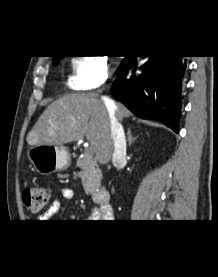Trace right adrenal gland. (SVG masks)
<instances>
[{
  "label": "right adrenal gland",
  "instance_id": "1",
  "mask_svg": "<svg viewBox=\"0 0 218 277\" xmlns=\"http://www.w3.org/2000/svg\"><path fill=\"white\" fill-rule=\"evenodd\" d=\"M127 137H128V144L131 146V144L137 139V137H133L131 134V129H128L127 131Z\"/></svg>",
  "mask_w": 218,
  "mask_h": 277
}]
</instances>
